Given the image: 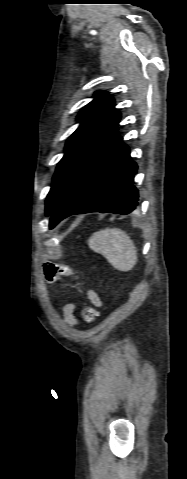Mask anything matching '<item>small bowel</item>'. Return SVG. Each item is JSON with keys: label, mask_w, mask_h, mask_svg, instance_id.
Wrapping results in <instances>:
<instances>
[{"label": "small bowel", "mask_w": 187, "mask_h": 479, "mask_svg": "<svg viewBox=\"0 0 187 479\" xmlns=\"http://www.w3.org/2000/svg\"><path fill=\"white\" fill-rule=\"evenodd\" d=\"M87 297L90 301H92L96 305H100V299L96 292L90 290L87 292ZM75 304L74 303H65L59 310L58 316L60 321L69 327H76L78 321L74 315L75 311Z\"/></svg>", "instance_id": "1"}]
</instances>
